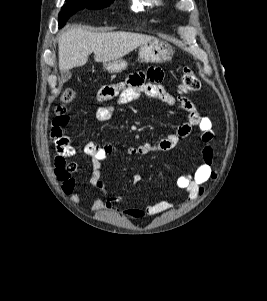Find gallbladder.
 Returning a JSON list of instances; mask_svg holds the SVG:
<instances>
[{
  "label": "gallbladder",
  "mask_w": 267,
  "mask_h": 301,
  "mask_svg": "<svg viewBox=\"0 0 267 301\" xmlns=\"http://www.w3.org/2000/svg\"><path fill=\"white\" fill-rule=\"evenodd\" d=\"M72 74L69 71H63L61 72V75L59 77L60 82H66L71 78Z\"/></svg>",
  "instance_id": "obj_1"
}]
</instances>
